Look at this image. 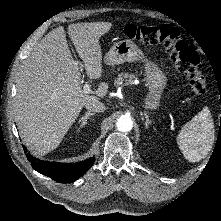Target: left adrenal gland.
I'll return each instance as SVG.
<instances>
[{
  "label": "left adrenal gland",
  "instance_id": "obj_1",
  "mask_svg": "<svg viewBox=\"0 0 221 221\" xmlns=\"http://www.w3.org/2000/svg\"><path fill=\"white\" fill-rule=\"evenodd\" d=\"M144 117L146 119L145 127L148 128V126L152 123V121L149 119V116L146 113H144Z\"/></svg>",
  "mask_w": 221,
  "mask_h": 221
}]
</instances>
